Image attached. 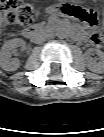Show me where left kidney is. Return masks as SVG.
I'll return each instance as SVG.
<instances>
[{"instance_id": "5707ae66", "label": "left kidney", "mask_w": 104, "mask_h": 137, "mask_svg": "<svg viewBox=\"0 0 104 137\" xmlns=\"http://www.w3.org/2000/svg\"><path fill=\"white\" fill-rule=\"evenodd\" d=\"M97 53L101 58L103 57V52L100 51V50H93V49H90L88 52H87V56H88V60H87V65L89 67V69L93 72H97V73H100L103 71L104 69V63L103 61H99L97 63H94L91 58L89 57L91 53Z\"/></svg>"}]
</instances>
